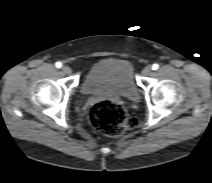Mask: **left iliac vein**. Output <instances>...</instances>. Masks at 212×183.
<instances>
[{
  "mask_svg": "<svg viewBox=\"0 0 212 183\" xmlns=\"http://www.w3.org/2000/svg\"><path fill=\"white\" fill-rule=\"evenodd\" d=\"M151 73H152V68L149 67V66L145 67V68L142 70V74H143L144 76H149Z\"/></svg>",
  "mask_w": 212,
  "mask_h": 183,
  "instance_id": "4c4485c4",
  "label": "left iliac vein"
}]
</instances>
